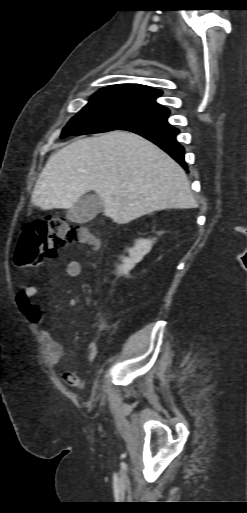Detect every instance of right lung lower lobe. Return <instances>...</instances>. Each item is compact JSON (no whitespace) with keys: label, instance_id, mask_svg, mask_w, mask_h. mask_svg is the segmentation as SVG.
Segmentation results:
<instances>
[{"label":"right lung lower lobe","instance_id":"obj_1","mask_svg":"<svg viewBox=\"0 0 247 513\" xmlns=\"http://www.w3.org/2000/svg\"><path fill=\"white\" fill-rule=\"evenodd\" d=\"M168 115H162L153 119L135 122L124 126L121 130L134 132L158 145L174 158L184 169L187 165L184 161V148L176 140L179 133L167 121Z\"/></svg>","mask_w":247,"mask_h":513}]
</instances>
